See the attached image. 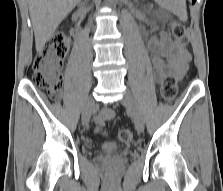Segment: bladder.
Returning a JSON list of instances; mask_svg holds the SVG:
<instances>
[{
	"mask_svg": "<svg viewBox=\"0 0 223 191\" xmlns=\"http://www.w3.org/2000/svg\"><path fill=\"white\" fill-rule=\"evenodd\" d=\"M118 145L115 142L109 141V142H105L102 146V150L105 153H113L116 152L118 150Z\"/></svg>",
	"mask_w": 223,
	"mask_h": 191,
	"instance_id": "1",
	"label": "bladder"
}]
</instances>
